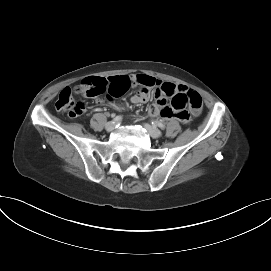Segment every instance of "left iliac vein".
<instances>
[{"instance_id":"obj_1","label":"left iliac vein","mask_w":271,"mask_h":271,"mask_svg":"<svg viewBox=\"0 0 271 271\" xmlns=\"http://www.w3.org/2000/svg\"><path fill=\"white\" fill-rule=\"evenodd\" d=\"M144 128L152 138H159L161 136V131L149 124H144Z\"/></svg>"}]
</instances>
